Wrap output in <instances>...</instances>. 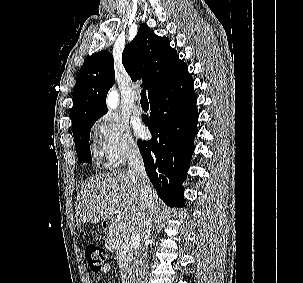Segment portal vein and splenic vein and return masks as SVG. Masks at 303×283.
Instances as JSON below:
<instances>
[{
  "label": "portal vein and splenic vein",
  "instance_id": "18ae733b",
  "mask_svg": "<svg viewBox=\"0 0 303 283\" xmlns=\"http://www.w3.org/2000/svg\"><path fill=\"white\" fill-rule=\"evenodd\" d=\"M122 225H124V226H129L128 223H126V222H122ZM129 227H130V226H129Z\"/></svg>",
  "mask_w": 303,
  "mask_h": 283
}]
</instances>
